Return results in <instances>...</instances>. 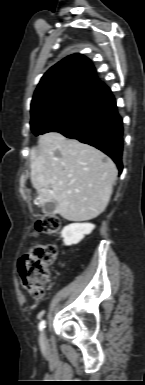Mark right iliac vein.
Listing matches in <instances>:
<instances>
[{"instance_id": "right-iliac-vein-1", "label": "right iliac vein", "mask_w": 145, "mask_h": 385, "mask_svg": "<svg viewBox=\"0 0 145 385\" xmlns=\"http://www.w3.org/2000/svg\"><path fill=\"white\" fill-rule=\"evenodd\" d=\"M45 339H46V334H45V332L43 331V332L41 333V335H40V341H41V342H45Z\"/></svg>"}]
</instances>
